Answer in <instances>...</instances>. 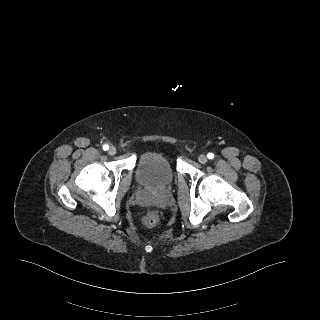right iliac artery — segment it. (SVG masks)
<instances>
[{
    "label": "right iliac artery",
    "mask_w": 320,
    "mask_h": 320,
    "mask_svg": "<svg viewBox=\"0 0 320 320\" xmlns=\"http://www.w3.org/2000/svg\"><path fill=\"white\" fill-rule=\"evenodd\" d=\"M109 149V146L107 144L103 145V150L107 151Z\"/></svg>",
    "instance_id": "right-iliac-artery-1"
}]
</instances>
